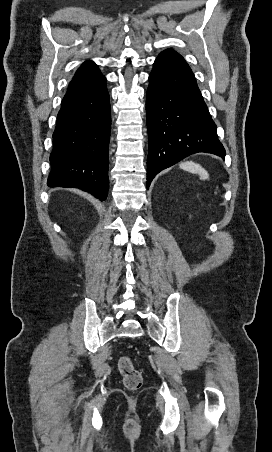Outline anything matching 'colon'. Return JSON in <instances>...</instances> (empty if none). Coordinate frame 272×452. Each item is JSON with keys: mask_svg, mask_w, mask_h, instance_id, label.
Returning <instances> with one entry per match:
<instances>
[{"mask_svg": "<svg viewBox=\"0 0 272 452\" xmlns=\"http://www.w3.org/2000/svg\"><path fill=\"white\" fill-rule=\"evenodd\" d=\"M117 367L123 377L124 385L128 390L136 391L141 387L143 382L142 374L135 368L131 357H120L118 359Z\"/></svg>", "mask_w": 272, "mask_h": 452, "instance_id": "obj_1", "label": "colon"}]
</instances>
